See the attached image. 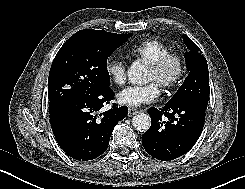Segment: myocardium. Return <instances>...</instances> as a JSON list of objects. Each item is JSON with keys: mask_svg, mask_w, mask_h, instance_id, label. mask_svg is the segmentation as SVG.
<instances>
[{"mask_svg": "<svg viewBox=\"0 0 245 189\" xmlns=\"http://www.w3.org/2000/svg\"><path fill=\"white\" fill-rule=\"evenodd\" d=\"M175 65L176 71L170 78L164 80L161 83V88L164 91H169L175 89L184 77L186 66L184 59L176 53H168L155 62L149 64V68L152 73L156 76H160L164 73L170 65Z\"/></svg>", "mask_w": 245, "mask_h": 189, "instance_id": "obj_1", "label": "myocardium"}]
</instances>
